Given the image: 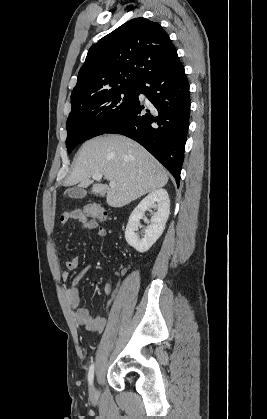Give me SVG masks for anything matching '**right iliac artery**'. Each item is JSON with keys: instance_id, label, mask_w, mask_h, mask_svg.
<instances>
[{"instance_id": "obj_1", "label": "right iliac artery", "mask_w": 267, "mask_h": 419, "mask_svg": "<svg viewBox=\"0 0 267 419\" xmlns=\"http://www.w3.org/2000/svg\"><path fill=\"white\" fill-rule=\"evenodd\" d=\"M94 378V363L90 366L89 372H88V381L89 384L92 385Z\"/></svg>"}]
</instances>
